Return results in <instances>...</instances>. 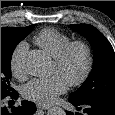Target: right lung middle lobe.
Segmentation results:
<instances>
[{
  "instance_id": "1",
  "label": "right lung middle lobe",
  "mask_w": 115,
  "mask_h": 115,
  "mask_svg": "<svg viewBox=\"0 0 115 115\" xmlns=\"http://www.w3.org/2000/svg\"><path fill=\"white\" fill-rule=\"evenodd\" d=\"M35 27L12 28L1 33V96L14 91L10 87L11 57L17 44L23 40Z\"/></svg>"
}]
</instances>
